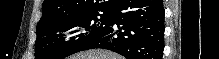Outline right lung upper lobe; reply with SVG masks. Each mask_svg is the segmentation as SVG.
Listing matches in <instances>:
<instances>
[{"instance_id": "right-lung-upper-lobe-1", "label": "right lung upper lobe", "mask_w": 219, "mask_h": 59, "mask_svg": "<svg viewBox=\"0 0 219 59\" xmlns=\"http://www.w3.org/2000/svg\"><path fill=\"white\" fill-rule=\"evenodd\" d=\"M116 0H44L42 17L37 25L75 15L110 11Z\"/></svg>"}]
</instances>
